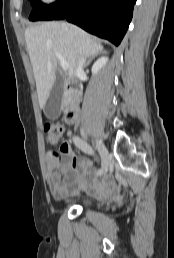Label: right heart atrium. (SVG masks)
Here are the masks:
<instances>
[{
  "mask_svg": "<svg viewBox=\"0 0 174 258\" xmlns=\"http://www.w3.org/2000/svg\"><path fill=\"white\" fill-rule=\"evenodd\" d=\"M44 3H46V4H50V3H53L54 1H56V0H42Z\"/></svg>",
  "mask_w": 174,
  "mask_h": 258,
  "instance_id": "1",
  "label": "right heart atrium"
}]
</instances>
